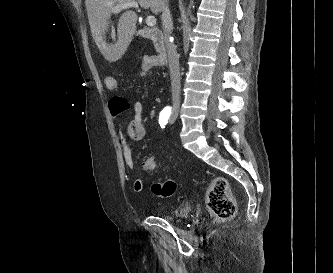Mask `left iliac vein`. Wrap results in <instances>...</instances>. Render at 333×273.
Segmentation results:
<instances>
[{
	"label": "left iliac vein",
	"instance_id": "left-iliac-vein-1",
	"mask_svg": "<svg viewBox=\"0 0 333 273\" xmlns=\"http://www.w3.org/2000/svg\"><path fill=\"white\" fill-rule=\"evenodd\" d=\"M175 119H176V118L171 117V118H170V124H173V123L175 122Z\"/></svg>",
	"mask_w": 333,
	"mask_h": 273
}]
</instances>
